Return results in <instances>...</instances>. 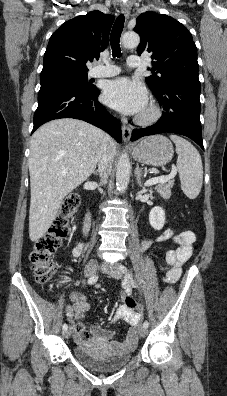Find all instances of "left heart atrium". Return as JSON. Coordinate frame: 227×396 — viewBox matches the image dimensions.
<instances>
[{
	"label": "left heart atrium",
	"mask_w": 227,
	"mask_h": 396,
	"mask_svg": "<svg viewBox=\"0 0 227 396\" xmlns=\"http://www.w3.org/2000/svg\"><path fill=\"white\" fill-rule=\"evenodd\" d=\"M102 98L108 106L128 115L140 114L147 106L144 86L129 78L109 81L104 88Z\"/></svg>",
	"instance_id": "39dd6f15"
}]
</instances>
